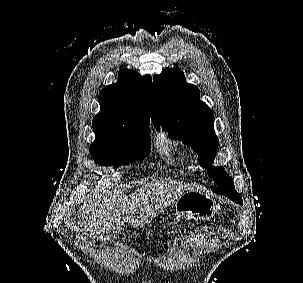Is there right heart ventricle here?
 <instances>
[{"mask_svg":"<svg viewBox=\"0 0 303 283\" xmlns=\"http://www.w3.org/2000/svg\"><path fill=\"white\" fill-rule=\"evenodd\" d=\"M157 147L159 150L168 157H173L175 150L172 148L169 139L166 134H159L157 136Z\"/></svg>","mask_w":303,"mask_h":283,"instance_id":"obj_1","label":"right heart ventricle"}]
</instances>
